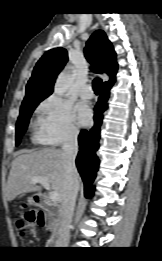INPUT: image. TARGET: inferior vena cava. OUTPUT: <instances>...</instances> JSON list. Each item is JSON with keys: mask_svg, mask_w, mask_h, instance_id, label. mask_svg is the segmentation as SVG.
<instances>
[{"mask_svg": "<svg viewBox=\"0 0 162 261\" xmlns=\"http://www.w3.org/2000/svg\"><path fill=\"white\" fill-rule=\"evenodd\" d=\"M78 134H71L63 143L62 150L65 157L66 184L59 208L60 237L59 247H67L69 242V230L73 218V212L78 193V172L75 159L78 153Z\"/></svg>", "mask_w": 162, "mask_h": 261, "instance_id": "obj_1", "label": "inferior vena cava"}]
</instances>
